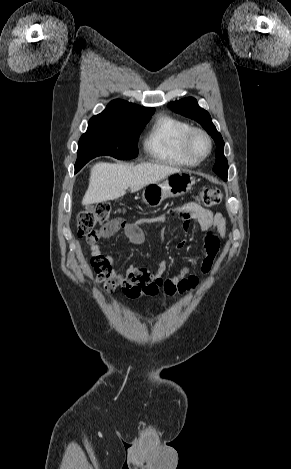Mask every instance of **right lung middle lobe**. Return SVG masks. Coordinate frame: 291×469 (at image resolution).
<instances>
[{
	"instance_id": "right-lung-middle-lobe-1",
	"label": "right lung middle lobe",
	"mask_w": 291,
	"mask_h": 469,
	"mask_svg": "<svg viewBox=\"0 0 291 469\" xmlns=\"http://www.w3.org/2000/svg\"><path fill=\"white\" fill-rule=\"evenodd\" d=\"M150 117L130 120L91 118L78 143L75 172L97 156L109 155L124 160L136 158L137 138Z\"/></svg>"
}]
</instances>
